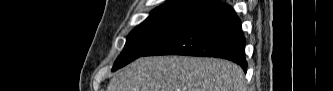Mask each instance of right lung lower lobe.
<instances>
[{
	"mask_svg": "<svg viewBox=\"0 0 333 91\" xmlns=\"http://www.w3.org/2000/svg\"><path fill=\"white\" fill-rule=\"evenodd\" d=\"M244 44L236 13L231 6L216 2L143 56L218 57L239 64L246 72Z\"/></svg>",
	"mask_w": 333,
	"mask_h": 91,
	"instance_id": "1",
	"label": "right lung lower lobe"
}]
</instances>
